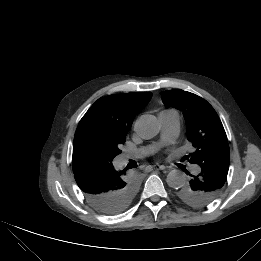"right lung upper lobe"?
Wrapping results in <instances>:
<instances>
[{
  "instance_id": "cb5924a9",
  "label": "right lung upper lobe",
  "mask_w": 261,
  "mask_h": 261,
  "mask_svg": "<svg viewBox=\"0 0 261 261\" xmlns=\"http://www.w3.org/2000/svg\"><path fill=\"white\" fill-rule=\"evenodd\" d=\"M151 97L152 93L135 92L101 97L80 120L77 130L91 127L108 133L127 134L136 113Z\"/></svg>"
}]
</instances>
